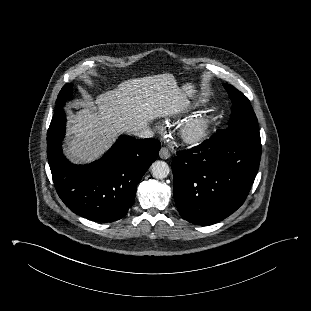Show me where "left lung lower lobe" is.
Listing matches in <instances>:
<instances>
[{
  "mask_svg": "<svg viewBox=\"0 0 311 311\" xmlns=\"http://www.w3.org/2000/svg\"><path fill=\"white\" fill-rule=\"evenodd\" d=\"M261 157L260 133L231 127L172 160L174 200L181 216L197 225L217 223L245 201Z\"/></svg>",
  "mask_w": 311,
  "mask_h": 311,
  "instance_id": "0a47b994",
  "label": "left lung lower lobe"
}]
</instances>
